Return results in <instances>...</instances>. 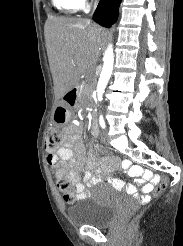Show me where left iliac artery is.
<instances>
[{"instance_id": "obj_1", "label": "left iliac artery", "mask_w": 183, "mask_h": 246, "mask_svg": "<svg viewBox=\"0 0 183 246\" xmlns=\"http://www.w3.org/2000/svg\"><path fill=\"white\" fill-rule=\"evenodd\" d=\"M99 124H100V126H101L103 129L105 128V121H104L102 115H100V118H99Z\"/></svg>"}]
</instances>
